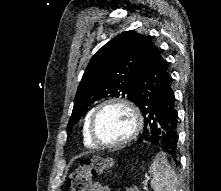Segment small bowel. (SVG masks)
<instances>
[{"mask_svg": "<svg viewBox=\"0 0 221 191\" xmlns=\"http://www.w3.org/2000/svg\"><path fill=\"white\" fill-rule=\"evenodd\" d=\"M89 191H104V185L100 182H93L91 183Z\"/></svg>", "mask_w": 221, "mask_h": 191, "instance_id": "1", "label": "small bowel"}]
</instances>
